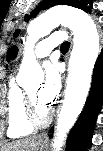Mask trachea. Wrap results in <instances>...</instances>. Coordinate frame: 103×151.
Instances as JSON below:
<instances>
[{
  "mask_svg": "<svg viewBox=\"0 0 103 151\" xmlns=\"http://www.w3.org/2000/svg\"><path fill=\"white\" fill-rule=\"evenodd\" d=\"M70 47V42H64L62 45H61V50L62 51H66L68 50Z\"/></svg>",
  "mask_w": 103,
  "mask_h": 151,
  "instance_id": "trachea-1",
  "label": "trachea"
}]
</instances>
